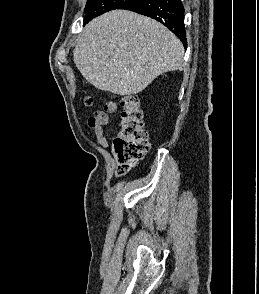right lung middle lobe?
Returning a JSON list of instances; mask_svg holds the SVG:
<instances>
[{
	"instance_id": "obj_1",
	"label": "right lung middle lobe",
	"mask_w": 259,
	"mask_h": 294,
	"mask_svg": "<svg viewBox=\"0 0 259 294\" xmlns=\"http://www.w3.org/2000/svg\"><path fill=\"white\" fill-rule=\"evenodd\" d=\"M133 0H88L84 18V25L89 22L92 18L97 17L105 12L114 9H120L123 5Z\"/></svg>"
}]
</instances>
